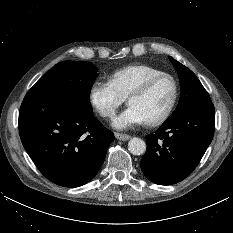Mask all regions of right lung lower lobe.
Masks as SVG:
<instances>
[{"label":"right lung lower lobe","mask_w":233,"mask_h":233,"mask_svg":"<svg viewBox=\"0 0 233 233\" xmlns=\"http://www.w3.org/2000/svg\"><path fill=\"white\" fill-rule=\"evenodd\" d=\"M22 144L40 172L64 187H79L99 171L114 134L75 100L27 93L19 112Z\"/></svg>","instance_id":"obj_1"}]
</instances>
